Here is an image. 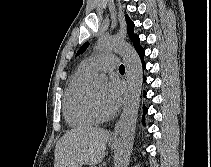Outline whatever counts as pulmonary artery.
<instances>
[{
	"mask_svg": "<svg viewBox=\"0 0 211 167\" xmlns=\"http://www.w3.org/2000/svg\"><path fill=\"white\" fill-rule=\"evenodd\" d=\"M81 66L91 73L113 70L119 66V59L113 54H98L84 59Z\"/></svg>",
	"mask_w": 211,
	"mask_h": 167,
	"instance_id": "e3ab8cb5",
	"label": "pulmonary artery"
}]
</instances>
